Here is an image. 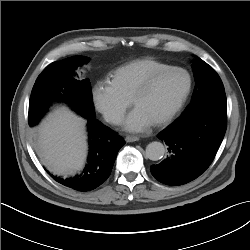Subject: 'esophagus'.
Segmentation results:
<instances>
[{"label":"esophagus","instance_id":"esophagus-1","mask_svg":"<svg viewBox=\"0 0 250 250\" xmlns=\"http://www.w3.org/2000/svg\"><path fill=\"white\" fill-rule=\"evenodd\" d=\"M138 140H139V137H137V136L128 135V136L125 137L126 142H135V141H138Z\"/></svg>","mask_w":250,"mask_h":250}]
</instances>
